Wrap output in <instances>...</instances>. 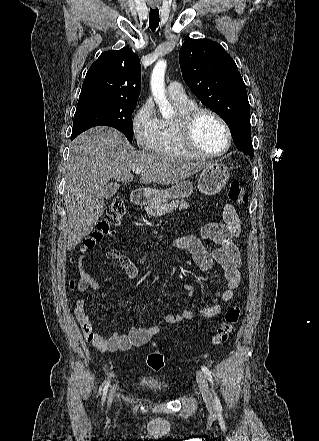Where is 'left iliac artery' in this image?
Instances as JSON below:
<instances>
[{
    "instance_id": "obj_1",
    "label": "left iliac artery",
    "mask_w": 319,
    "mask_h": 441,
    "mask_svg": "<svg viewBox=\"0 0 319 441\" xmlns=\"http://www.w3.org/2000/svg\"><path fill=\"white\" fill-rule=\"evenodd\" d=\"M201 369H202V372L204 373V375L208 378V380L213 385L212 375H211V372L209 371V369L206 366H204V365L201 366ZM213 391H214V395H215V406H216V409L220 411V410H222L221 403H220V401H219V399L217 397V394L215 393V390H213Z\"/></svg>"
}]
</instances>
